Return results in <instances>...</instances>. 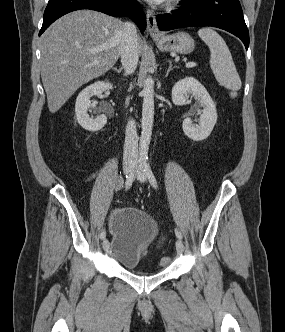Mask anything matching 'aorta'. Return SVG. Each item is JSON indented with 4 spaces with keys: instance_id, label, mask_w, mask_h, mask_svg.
Instances as JSON below:
<instances>
[{
    "instance_id": "aorta-1",
    "label": "aorta",
    "mask_w": 285,
    "mask_h": 332,
    "mask_svg": "<svg viewBox=\"0 0 285 332\" xmlns=\"http://www.w3.org/2000/svg\"><path fill=\"white\" fill-rule=\"evenodd\" d=\"M142 94V131L140 136L139 155L141 159H147L154 121V81L151 76H147L144 80Z\"/></svg>"
}]
</instances>
